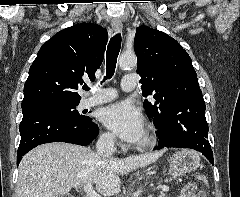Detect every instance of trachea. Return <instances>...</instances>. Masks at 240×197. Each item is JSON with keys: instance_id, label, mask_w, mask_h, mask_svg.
I'll use <instances>...</instances> for the list:
<instances>
[{"instance_id": "1", "label": "trachea", "mask_w": 240, "mask_h": 197, "mask_svg": "<svg viewBox=\"0 0 240 197\" xmlns=\"http://www.w3.org/2000/svg\"><path fill=\"white\" fill-rule=\"evenodd\" d=\"M120 48H121V34L118 33L111 38L107 47L106 76L104 77V80L110 79L114 75ZM83 89L89 90V87L84 86Z\"/></svg>"}]
</instances>
